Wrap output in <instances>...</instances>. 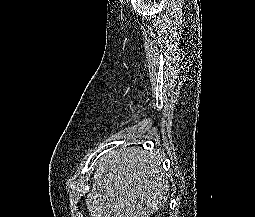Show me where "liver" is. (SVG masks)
<instances>
[{
    "label": "liver",
    "instance_id": "obj_1",
    "mask_svg": "<svg viewBox=\"0 0 255 217\" xmlns=\"http://www.w3.org/2000/svg\"><path fill=\"white\" fill-rule=\"evenodd\" d=\"M92 179L86 199L91 217H150L169 194L161 156L139 147L108 153Z\"/></svg>",
    "mask_w": 255,
    "mask_h": 217
}]
</instances>
